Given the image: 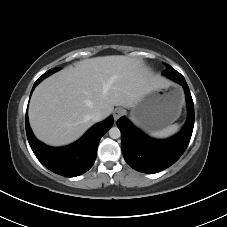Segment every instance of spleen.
<instances>
[{
    "mask_svg": "<svg viewBox=\"0 0 227 227\" xmlns=\"http://www.w3.org/2000/svg\"><path fill=\"white\" fill-rule=\"evenodd\" d=\"M179 129L178 124H173L170 126H167L166 128H163L161 130L152 132L150 136L155 137V138H167L173 134H175Z\"/></svg>",
    "mask_w": 227,
    "mask_h": 227,
    "instance_id": "1",
    "label": "spleen"
}]
</instances>
